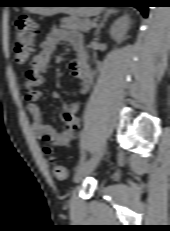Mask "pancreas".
<instances>
[{
  "label": "pancreas",
  "instance_id": "pancreas-1",
  "mask_svg": "<svg viewBox=\"0 0 170 231\" xmlns=\"http://www.w3.org/2000/svg\"><path fill=\"white\" fill-rule=\"evenodd\" d=\"M92 21L89 19H79L74 17H65L61 19V27L73 31L87 32L92 27Z\"/></svg>",
  "mask_w": 170,
  "mask_h": 231
}]
</instances>
